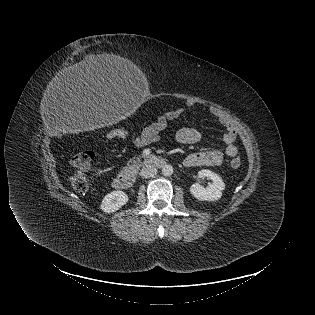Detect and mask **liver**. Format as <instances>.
<instances>
[{
    "instance_id": "liver-1",
    "label": "liver",
    "mask_w": 315,
    "mask_h": 315,
    "mask_svg": "<svg viewBox=\"0 0 315 315\" xmlns=\"http://www.w3.org/2000/svg\"><path fill=\"white\" fill-rule=\"evenodd\" d=\"M141 72L128 59L114 54L102 53L90 55L68 68L59 75L67 84L104 83L107 81H124L139 79Z\"/></svg>"
}]
</instances>
